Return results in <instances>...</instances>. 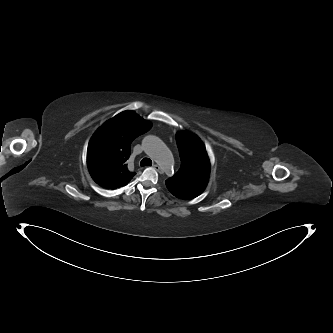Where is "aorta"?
I'll return each mask as SVG.
<instances>
[{"mask_svg": "<svg viewBox=\"0 0 333 333\" xmlns=\"http://www.w3.org/2000/svg\"><path fill=\"white\" fill-rule=\"evenodd\" d=\"M144 151L163 171H170L173 166V156L166 144L157 136L149 135L142 142Z\"/></svg>", "mask_w": 333, "mask_h": 333, "instance_id": "obj_1", "label": "aorta"}]
</instances>
